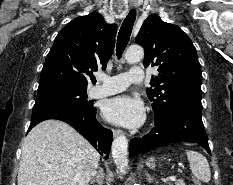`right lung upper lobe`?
I'll return each mask as SVG.
<instances>
[{
  "label": "right lung upper lobe",
  "mask_w": 233,
  "mask_h": 185,
  "mask_svg": "<svg viewBox=\"0 0 233 185\" xmlns=\"http://www.w3.org/2000/svg\"><path fill=\"white\" fill-rule=\"evenodd\" d=\"M117 27L107 24L98 12L80 16L57 35L41 71L38 90L64 87L86 89L95 84L92 71L106 68Z\"/></svg>",
  "instance_id": "cb5924a9"
}]
</instances>
